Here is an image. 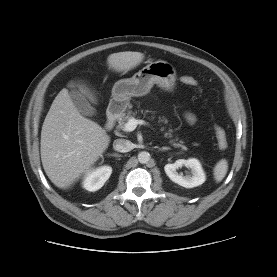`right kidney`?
I'll return each instance as SVG.
<instances>
[{
  "label": "right kidney",
  "instance_id": "right-kidney-1",
  "mask_svg": "<svg viewBox=\"0 0 277 277\" xmlns=\"http://www.w3.org/2000/svg\"><path fill=\"white\" fill-rule=\"evenodd\" d=\"M111 173L112 168L110 166H101L96 168L86 175L83 181V187L91 192L97 191L109 179Z\"/></svg>",
  "mask_w": 277,
  "mask_h": 277
}]
</instances>
